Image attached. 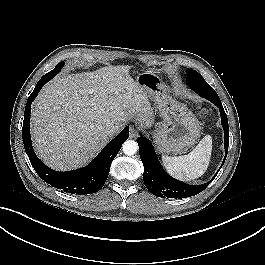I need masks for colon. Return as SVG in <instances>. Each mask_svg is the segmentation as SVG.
Returning a JSON list of instances; mask_svg holds the SVG:
<instances>
[{"label": "colon", "mask_w": 265, "mask_h": 265, "mask_svg": "<svg viewBox=\"0 0 265 265\" xmlns=\"http://www.w3.org/2000/svg\"><path fill=\"white\" fill-rule=\"evenodd\" d=\"M200 113H201L202 115H205V114H206V110H205L204 108H202V109L200 110Z\"/></svg>", "instance_id": "1"}]
</instances>
